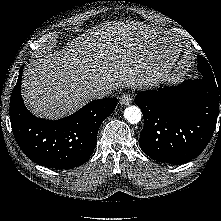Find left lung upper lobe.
Segmentation results:
<instances>
[{
  "label": "left lung upper lobe",
  "mask_w": 221,
  "mask_h": 221,
  "mask_svg": "<svg viewBox=\"0 0 221 221\" xmlns=\"http://www.w3.org/2000/svg\"><path fill=\"white\" fill-rule=\"evenodd\" d=\"M198 70L201 72V74L204 77L214 78L213 73H212V69H211L209 63L202 56H198Z\"/></svg>",
  "instance_id": "left-lung-upper-lobe-1"
}]
</instances>
